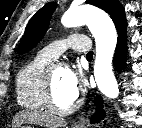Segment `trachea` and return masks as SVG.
<instances>
[{
    "label": "trachea",
    "mask_w": 142,
    "mask_h": 128,
    "mask_svg": "<svg viewBox=\"0 0 142 128\" xmlns=\"http://www.w3.org/2000/svg\"><path fill=\"white\" fill-rule=\"evenodd\" d=\"M86 57H87V58H92V57H93V52L90 51L89 53H87Z\"/></svg>",
    "instance_id": "obj_1"
}]
</instances>
